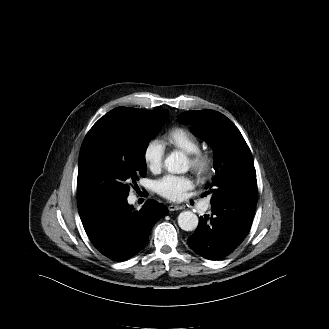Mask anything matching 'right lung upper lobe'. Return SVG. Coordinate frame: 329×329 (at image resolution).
I'll return each instance as SVG.
<instances>
[{"label":"right lung upper lobe","instance_id":"obj_1","mask_svg":"<svg viewBox=\"0 0 329 329\" xmlns=\"http://www.w3.org/2000/svg\"><path fill=\"white\" fill-rule=\"evenodd\" d=\"M132 109H133V111L137 112L138 115H140L141 117H144V118L150 117L153 113H155L157 111V110L145 111V110H139L136 108H132ZM92 133H93V129L91 128L90 131L87 133L82 145H84L88 141V139L91 137Z\"/></svg>","mask_w":329,"mask_h":329}]
</instances>
